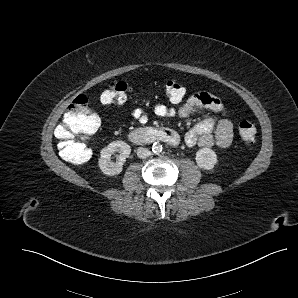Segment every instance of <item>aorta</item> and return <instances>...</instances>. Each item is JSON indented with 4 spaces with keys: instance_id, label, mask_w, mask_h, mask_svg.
Wrapping results in <instances>:
<instances>
[{
    "instance_id": "762f6f07",
    "label": "aorta",
    "mask_w": 298,
    "mask_h": 298,
    "mask_svg": "<svg viewBox=\"0 0 298 298\" xmlns=\"http://www.w3.org/2000/svg\"><path fill=\"white\" fill-rule=\"evenodd\" d=\"M162 149H163V147L160 143H158V142L153 143V145H152L153 153L158 154V153L162 152Z\"/></svg>"
}]
</instances>
